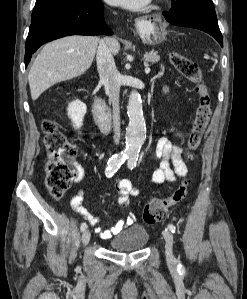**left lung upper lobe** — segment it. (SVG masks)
I'll return each instance as SVG.
<instances>
[{
    "mask_svg": "<svg viewBox=\"0 0 247 299\" xmlns=\"http://www.w3.org/2000/svg\"><path fill=\"white\" fill-rule=\"evenodd\" d=\"M171 1H172L171 10H174L179 6H181L182 4L188 2H196L206 7L214 8V4L212 0H171Z\"/></svg>",
    "mask_w": 247,
    "mask_h": 299,
    "instance_id": "obj_1",
    "label": "left lung upper lobe"
}]
</instances>
